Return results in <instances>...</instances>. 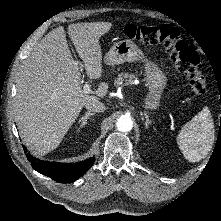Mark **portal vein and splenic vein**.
Here are the masks:
<instances>
[{"mask_svg":"<svg viewBox=\"0 0 221 221\" xmlns=\"http://www.w3.org/2000/svg\"><path fill=\"white\" fill-rule=\"evenodd\" d=\"M83 93L85 94H91L93 93L92 90L90 89L89 83H85L83 86Z\"/></svg>","mask_w":221,"mask_h":221,"instance_id":"18ae733b","label":"portal vein and splenic vein"}]
</instances>
